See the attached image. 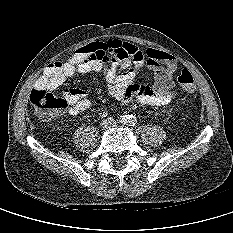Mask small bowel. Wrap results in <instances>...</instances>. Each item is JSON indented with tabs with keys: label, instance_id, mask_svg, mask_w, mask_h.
<instances>
[{
	"label": "small bowel",
	"instance_id": "1",
	"mask_svg": "<svg viewBox=\"0 0 233 233\" xmlns=\"http://www.w3.org/2000/svg\"><path fill=\"white\" fill-rule=\"evenodd\" d=\"M145 66L154 72L152 87L135 82L138 71ZM177 71L176 59L166 52L151 48L141 50L128 42L108 40L85 45L67 60L50 64L37 81L36 88L55 90L76 72L97 73L103 76L115 99L124 103L135 99L143 107L162 106L176 96L174 75ZM63 95L71 115L91 106L84 90H65Z\"/></svg>",
	"mask_w": 233,
	"mask_h": 233
}]
</instances>
